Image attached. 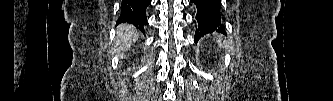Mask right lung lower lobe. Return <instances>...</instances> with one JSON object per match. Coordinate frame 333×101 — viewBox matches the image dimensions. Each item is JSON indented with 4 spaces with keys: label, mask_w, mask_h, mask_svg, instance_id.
I'll list each match as a JSON object with an SVG mask.
<instances>
[{
    "label": "right lung lower lobe",
    "mask_w": 333,
    "mask_h": 101,
    "mask_svg": "<svg viewBox=\"0 0 333 101\" xmlns=\"http://www.w3.org/2000/svg\"><path fill=\"white\" fill-rule=\"evenodd\" d=\"M151 0H122L120 17L118 23H130L144 30L147 22L146 8Z\"/></svg>",
    "instance_id": "1"
}]
</instances>
